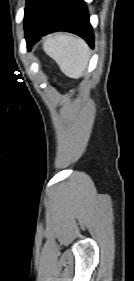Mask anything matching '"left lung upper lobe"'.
<instances>
[{"label": "left lung upper lobe", "mask_w": 134, "mask_h": 281, "mask_svg": "<svg viewBox=\"0 0 134 281\" xmlns=\"http://www.w3.org/2000/svg\"><path fill=\"white\" fill-rule=\"evenodd\" d=\"M39 2L40 0H27L25 14H24V26L28 22L30 16L32 15L33 11L35 10Z\"/></svg>", "instance_id": "5c2ea615"}]
</instances>
